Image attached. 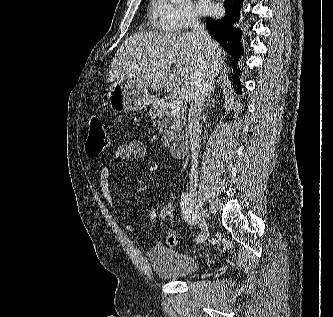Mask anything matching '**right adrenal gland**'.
I'll use <instances>...</instances> for the list:
<instances>
[{"instance_id": "obj_1", "label": "right adrenal gland", "mask_w": 333, "mask_h": 317, "mask_svg": "<svg viewBox=\"0 0 333 317\" xmlns=\"http://www.w3.org/2000/svg\"><path fill=\"white\" fill-rule=\"evenodd\" d=\"M214 90H215V87H212L210 89V91H209V94H208V97H207V101H206V103L204 105L205 109H207L208 106L210 105V102H212L214 100L213 97H212Z\"/></svg>"}]
</instances>
